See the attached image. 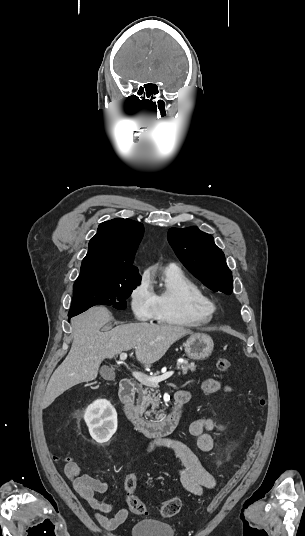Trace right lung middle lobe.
Returning a JSON list of instances; mask_svg holds the SVG:
<instances>
[{
    "mask_svg": "<svg viewBox=\"0 0 305 536\" xmlns=\"http://www.w3.org/2000/svg\"><path fill=\"white\" fill-rule=\"evenodd\" d=\"M140 282L141 277H78L73 286L69 313L77 315L98 304L112 305L123 310L126 308V299Z\"/></svg>",
    "mask_w": 305,
    "mask_h": 536,
    "instance_id": "obj_1",
    "label": "right lung middle lobe"
}]
</instances>
